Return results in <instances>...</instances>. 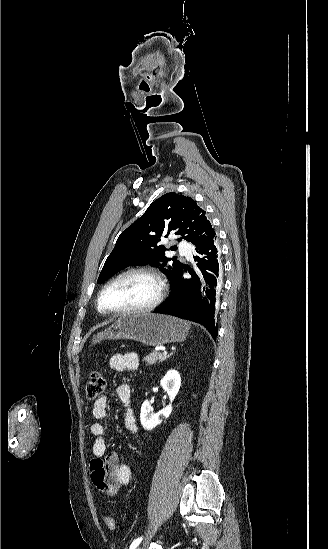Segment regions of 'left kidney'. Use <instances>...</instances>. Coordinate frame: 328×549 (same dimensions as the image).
<instances>
[{"mask_svg": "<svg viewBox=\"0 0 328 549\" xmlns=\"http://www.w3.org/2000/svg\"><path fill=\"white\" fill-rule=\"evenodd\" d=\"M160 385L163 387L164 391H166L170 403L167 407H164L162 411H159V413H153L150 401H144V403H142L140 421L142 427H144L146 431H151V429L160 425L163 419H168V417H170L173 411L172 403L181 387V377L178 371H175V369L167 371L165 377L161 379Z\"/></svg>", "mask_w": 328, "mask_h": 549, "instance_id": "obj_1", "label": "left kidney"}]
</instances>
